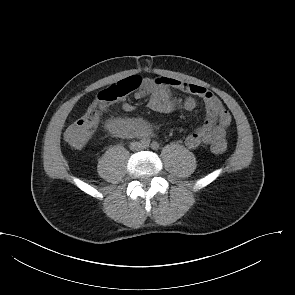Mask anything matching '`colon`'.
I'll list each match as a JSON object with an SVG mask.
<instances>
[{"label": "colon", "mask_w": 295, "mask_h": 295, "mask_svg": "<svg viewBox=\"0 0 295 295\" xmlns=\"http://www.w3.org/2000/svg\"><path fill=\"white\" fill-rule=\"evenodd\" d=\"M141 85L142 78L140 76H131L99 92L85 113L66 129L64 134L66 142L75 148L85 145L90 139L102 111L119 102L129 93L139 90ZM211 149L218 154L224 153L227 143L217 142L211 146Z\"/></svg>", "instance_id": "1"}]
</instances>
